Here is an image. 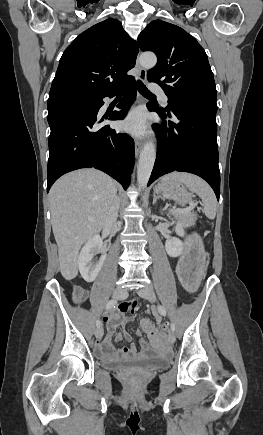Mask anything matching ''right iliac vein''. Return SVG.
<instances>
[{"label":"right iliac vein","mask_w":263,"mask_h":435,"mask_svg":"<svg viewBox=\"0 0 263 435\" xmlns=\"http://www.w3.org/2000/svg\"><path fill=\"white\" fill-rule=\"evenodd\" d=\"M112 297L114 299H124L127 297V291L123 288H116L113 293H112ZM95 336L97 339H101L103 336V329L102 328H97L95 331Z\"/></svg>","instance_id":"63e3f726"}]
</instances>
